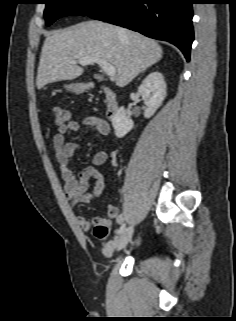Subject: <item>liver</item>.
<instances>
[{
  "instance_id": "1",
  "label": "liver",
  "mask_w": 236,
  "mask_h": 321,
  "mask_svg": "<svg viewBox=\"0 0 236 321\" xmlns=\"http://www.w3.org/2000/svg\"><path fill=\"white\" fill-rule=\"evenodd\" d=\"M162 47L140 33L101 21H87L49 33L44 41L36 85L72 80L84 69L70 61L100 58L116 68L114 81L124 87L162 58Z\"/></svg>"
}]
</instances>
